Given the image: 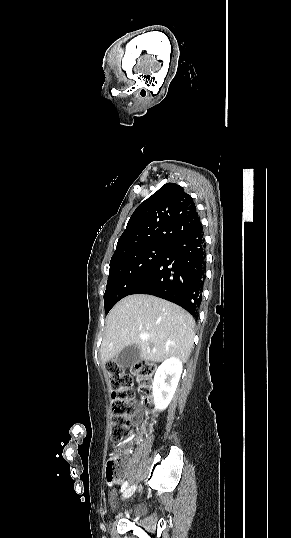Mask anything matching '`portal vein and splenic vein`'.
Returning a JSON list of instances; mask_svg holds the SVG:
<instances>
[{
  "instance_id": "obj_1",
  "label": "portal vein and splenic vein",
  "mask_w": 291,
  "mask_h": 538,
  "mask_svg": "<svg viewBox=\"0 0 291 538\" xmlns=\"http://www.w3.org/2000/svg\"><path fill=\"white\" fill-rule=\"evenodd\" d=\"M139 336L143 339H147L148 338V335L147 334H144V333H140Z\"/></svg>"
}]
</instances>
